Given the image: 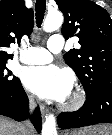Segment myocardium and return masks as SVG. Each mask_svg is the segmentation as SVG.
<instances>
[{"label": "myocardium", "mask_w": 112, "mask_h": 135, "mask_svg": "<svg viewBox=\"0 0 112 135\" xmlns=\"http://www.w3.org/2000/svg\"><path fill=\"white\" fill-rule=\"evenodd\" d=\"M86 102V94L84 91L77 89L73 92L71 97L66 101L62 107L68 111L79 110Z\"/></svg>", "instance_id": "obj_1"}]
</instances>
